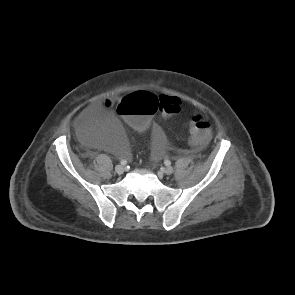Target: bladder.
Masks as SVG:
<instances>
[{"label":"bladder","mask_w":295,"mask_h":295,"mask_svg":"<svg viewBox=\"0 0 295 295\" xmlns=\"http://www.w3.org/2000/svg\"><path fill=\"white\" fill-rule=\"evenodd\" d=\"M77 129L85 141L106 149L117 158H124L129 153L126 135L113 113L104 106L85 108L78 117Z\"/></svg>","instance_id":"bladder-1"}]
</instances>
